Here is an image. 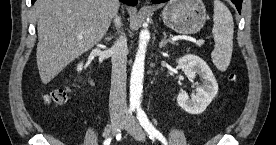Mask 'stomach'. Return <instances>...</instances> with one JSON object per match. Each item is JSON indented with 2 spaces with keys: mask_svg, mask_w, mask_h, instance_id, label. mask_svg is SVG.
Segmentation results:
<instances>
[{
  "mask_svg": "<svg viewBox=\"0 0 276 145\" xmlns=\"http://www.w3.org/2000/svg\"><path fill=\"white\" fill-rule=\"evenodd\" d=\"M166 26L180 34H195L204 26L206 9L202 0H171L162 11Z\"/></svg>",
  "mask_w": 276,
  "mask_h": 145,
  "instance_id": "1",
  "label": "stomach"
}]
</instances>
